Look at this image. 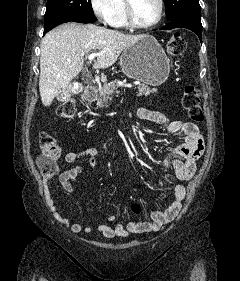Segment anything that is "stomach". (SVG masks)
<instances>
[{
    "instance_id": "0dacf381",
    "label": "stomach",
    "mask_w": 240,
    "mask_h": 281,
    "mask_svg": "<svg viewBox=\"0 0 240 281\" xmlns=\"http://www.w3.org/2000/svg\"><path fill=\"white\" fill-rule=\"evenodd\" d=\"M120 66L128 77L151 86L161 85L170 72V60L158 41L150 35H145L122 52Z\"/></svg>"
}]
</instances>
